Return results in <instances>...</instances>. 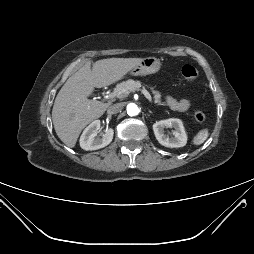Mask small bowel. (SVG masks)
Here are the masks:
<instances>
[{
  "label": "small bowel",
  "mask_w": 254,
  "mask_h": 254,
  "mask_svg": "<svg viewBox=\"0 0 254 254\" xmlns=\"http://www.w3.org/2000/svg\"><path fill=\"white\" fill-rule=\"evenodd\" d=\"M166 104L173 110L186 111L189 108V101L187 99L177 100L172 96H165Z\"/></svg>",
  "instance_id": "c3829d8e"
}]
</instances>
